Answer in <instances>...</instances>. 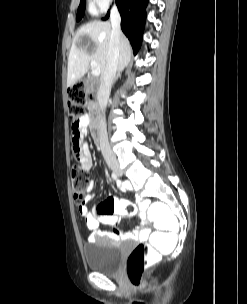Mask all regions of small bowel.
<instances>
[{
  "label": "small bowel",
  "mask_w": 247,
  "mask_h": 304,
  "mask_svg": "<svg viewBox=\"0 0 247 304\" xmlns=\"http://www.w3.org/2000/svg\"><path fill=\"white\" fill-rule=\"evenodd\" d=\"M90 117L88 115H82L78 122H72V130H71V144L70 151L73 159V165H80L84 171H89L92 167V158L90 152L86 145L81 144L83 137L87 134V128L90 125ZM94 188L93 183H89L87 187V194L84 198V201L81 205H79V211L83 218L86 221L88 229L92 231L88 240L90 242H94L99 238L107 237L110 239H119L121 237L118 230L114 229L112 232L106 231H98V227L100 223L105 224H115L117 222V216H102L96 217L94 216L88 208V204L94 199V194H92V190ZM141 210H144L148 205L147 200H141L140 203ZM142 218L144 220L145 213L142 212ZM150 234V229L145 225V222H142V225L135 231L124 234L122 237L125 239H140L145 240L148 238Z\"/></svg>",
  "instance_id": "obj_1"
}]
</instances>
